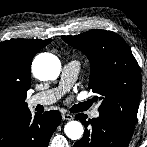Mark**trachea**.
Returning <instances> with one entry per match:
<instances>
[{
  "label": "trachea",
  "instance_id": "1",
  "mask_svg": "<svg viewBox=\"0 0 147 147\" xmlns=\"http://www.w3.org/2000/svg\"><path fill=\"white\" fill-rule=\"evenodd\" d=\"M79 110V106H74L73 108H72V111L73 112H77Z\"/></svg>",
  "mask_w": 147,
  "mask_h": 147
}]
</instances>
